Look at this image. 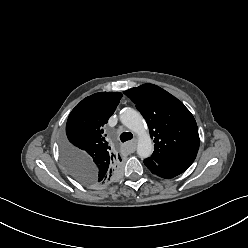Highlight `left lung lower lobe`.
Here are the masks:
<instances>
[{
    "instance_id": "1",
    "label": "left lung lower lobe",
    "mask_w": 248,
    "mask_h": 248,
    "mask_svg": "<svg viewBox=\"0 0 248 248\" xmlns=\"http://www.w3.org/2000/svg\"><path fill=\"white\" fill-rule=\"evenodd\" d=\"M147 168L159 177L170 179L186 171L192 163H179L173 165H159L149 158L144 160Z\"/></svg>"
}]
</instances>
